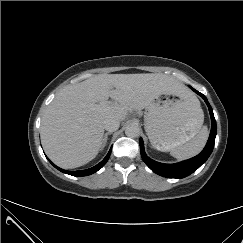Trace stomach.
<instances>
[{
	"label": "stomach",
	"mask_w": 243,
	"mask_h": 243,
	"mask_svg": "<svg viewBox=\"0 0 243 243\" xmlns=\"http://www.w3.org/2000/svg\"><path fill=\"white\" fill-rule=\"evenodd\" d=\"M200 103L191 93L184 96H158L144 117L146 133L152 146L169 151L191 140L200 130L203 118Z\"/></svg>",
	"instance_id": "stomach-1"
}]
</instances>
